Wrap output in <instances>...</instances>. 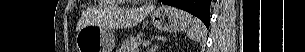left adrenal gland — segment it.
I'll use <instances>...</instances> for the list:
<instances>
[{
  "mask_svg": "<svg viewBox=\"0 0 305 52\" xmlns=\"http://www.w3.org/2000/svg\"><path fill=\"white\" fill-rule=\"evenodd\" d=\"M158 50V44L151 46L150 52H156Z\"/></svg>",
  "mask_w": 305,
  "mask_h": 52,
  "instance_id": "a2214340",
  "label": "left adrenal gland"
}]
</instances>
